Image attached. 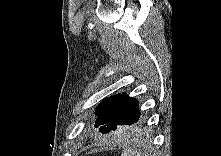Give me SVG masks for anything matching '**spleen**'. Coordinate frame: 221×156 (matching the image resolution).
<instances>
[{
    "mask_svg": "<svg viewBox=\"0 0 221 156\" xmlns=\"http://www.w3.org/2000/svg\"><path fill=\"white\" fill-rule=\"evenodd\" d=\"M138 154L139 153L131 152L129 150H125V151H123L122 156H135V155H138Z\"/></svg>",
    "mask_w": 221,
    "mask_h": 156,
    "instance_id": "spleen-1",
    "label": "spleen"
}]
</instances>
